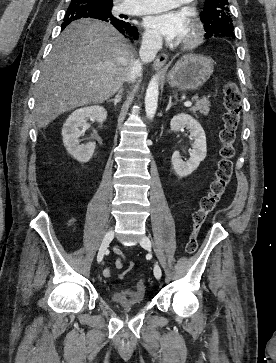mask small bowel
Segmentation results:
<instances>
[{
	"label": "small bowel",
	"instance_id": "1",
	"mask_svg": "<svg viewBox=\"0 0 276 363\" xmlns=\"http://www.w3.org/2000/svg\"><path fill=\"white\" fill-rule=\"evenodd\" d=\"M115 253L117 255L115 261H114V265L116 268L118 269H121L124 267V263H125V255L124 253L122 252V250L119 248V247H116L115 248ZM111 270L109 267H106L104 270H103V275L105 277H110L111 276Z\"/></svg>",
	"mask_w": 276,
	"mask_h": 363
}]
</instances>
